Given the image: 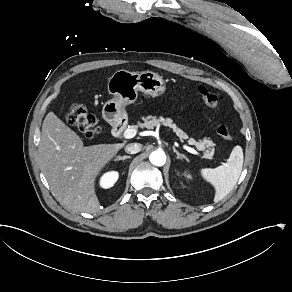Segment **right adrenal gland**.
Segmentation results:
<instances>
[{"label":"right adrenal gland","instance_id":"right-adrenal-gland-1","mask_svg":"<svg viewBox=\"0 0 292 292\" xmlns=\"http://www.w3.org/2000/svg\"><path fill=\"white\" fill-rule=\"evenodd\" d=\"M132 156H123V157H120L118 159H115L114 161L117 162V161H125L127 159H131Z\"/></svg>","mask_w":292,"mask_h":292}]
</instances>
